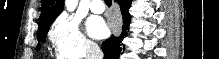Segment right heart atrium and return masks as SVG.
Returning <instances> with one entry per match:
<instances>
[{"label": "right heart atrium", "instance_id": "obj_1", "mask_svg": "<svg viewBox=\"0 0 219 59\" xmlns=\"http://www.w3.org/2000/svg\"><path fill=\"white\" fill-rule=\"evenodd\" d=\"M49 40L60 59L89 58L96 50V44L82 31L79 21L69 15L56 19L50 28Z\"/></svg>", "mask_w": 219, "mask_h": 59}]
</instances>
